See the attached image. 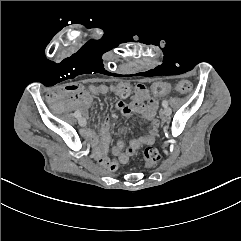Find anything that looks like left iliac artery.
Listing matches in <instances>:
<instances>
[{
	"label": "left iliac artery",
	"instance_id": "obj_1",
	"mask_svg": "<svg viewBox=\"0 0 241 241\" xmlns=\"http://www.w3.org/2000/svg\"><path fill=\"white\" fill-rule=\"evenodd\" d=\"M162 106L163 107H167L168 106V101L167 100H163L162 101Z\"/></svg>",
	"mask_w": 241,
	"mask_h": 241
}]
</instances>
